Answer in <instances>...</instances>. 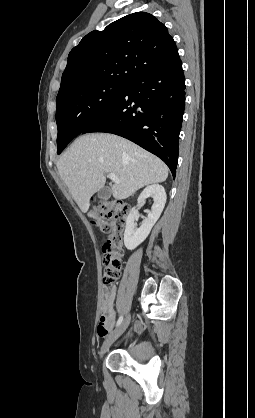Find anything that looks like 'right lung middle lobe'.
Returning <instances> with one entry per match:
<instances>
[{"label":"right lung middle lobe","instance_id":"obj_1","mask_svg":"<svg viewBox=\"0 0 255 418\" xmlns=\"http://www.w3.org/2000/svg\"><path fill=\"white\" fill-rule=\"evenodd\" d=\"M127 84L98 82L59 94L56 98L57 153L103 115Z\"/></svg>","mask_w":255,"mask_h":418}]
</instances>
